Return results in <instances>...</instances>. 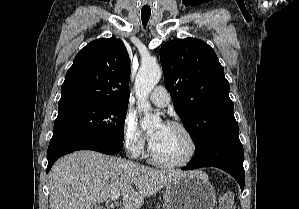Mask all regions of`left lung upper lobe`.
I'll return each mask as SVG.
<instances>
[{"instance_id": "obj_1", "label": "left lung upper lobe", "mask_w": 299, "mask_h": 209, "mask_svg": "<svg viewBox=\"0 0 299 209\" xmlns=\"http://www.w3.org/2000/svg\"><path fill=\"white\" fill-rule=\"evenodd\" d=\"M160 59L165 86L198 154L214 135L237 124L224 69L214 50L195 38L165 43Z\"/></svg>"}]
</instances>
